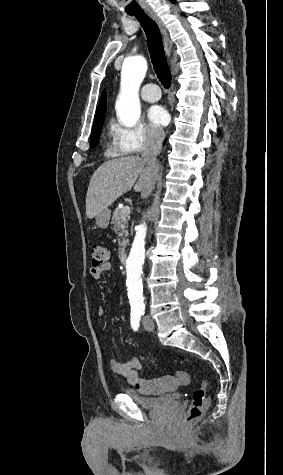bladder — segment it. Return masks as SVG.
<instances>
[{"instance_id":"31cf9c89","label":"bladder","mask_w":283,"mask_h":475,"mask_svg":"<svg viewBox=\"0 0 283 475\" xmlns=\"http://www.w3.org/2000/svg\"><path fill=\"white\" fill-rule=\"evenodd\" d=\"M124 393L134 404L147 411L159 410L162 406L167 405L178 406L181 400V395L175 393H166L161 397H143L133 388L124 389Z\"/></svg>"}]
</instances>
